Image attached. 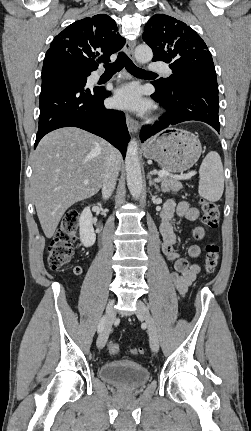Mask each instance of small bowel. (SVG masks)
Returning a JSON list of instances; mask_svg holds the SVG:
<instances>
[{
    "mask_svg": "<svg viewBox=\"0 0 251 431\" xmlns=\"http://www.w3.org/2000/svg\"><path fill=\"white\" fill-rule=\"evenodd\" d=\"M174 216L187 222H193L198 219L199 212L196 208L191 207L185 201L177 203L172 199L168 200L164 204L161 212L162 222L160 225V232L163 238L162 251L166 259L173 263L170 280L177 291L181 295H184L200 272V266L197 263L189 264L188 261L181 258L175 250L177 236L171 222ZM193 236L197 240L203 239L205 237L204 228L201 226L196 227L193 230ZM188 254L191 258H197L201 254V248L198 245L193 244L188 248ZM79 269L80 271L77 275L82 273V268L79 267Z\"/></svg>",
    "mask_w": 251,
    "mask_h": 431,
    "instance_id": "small-bowel-1",
    "label": "small bowel"
}]
</instances>
